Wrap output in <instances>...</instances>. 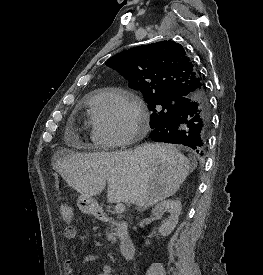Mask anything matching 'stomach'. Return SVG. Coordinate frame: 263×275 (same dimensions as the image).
I'll list each match as a JSON object with an SVG mask.
<instances>
[{
    "label": "stomach",
    "instance_id": "obj_1",
    "mask_svg": "<svg viewBox=\"0 0 263 275\" xmlns=\"http://www.w3.org/2000/svg\"><path fill=\"white\" fill-rule=\"evenodd\" d=\"M77 206L86 214L94 215L95 217H99L100 215L98 203L91 197H86L84 195L79 196L77 199Z\"/></svg>",
    "mask_w": 263,
    "mask_h": 275
}]
</instances>
